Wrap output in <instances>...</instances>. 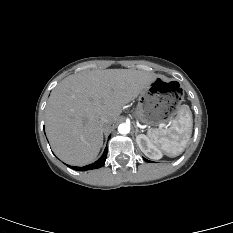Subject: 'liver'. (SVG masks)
I'll return each mask as SVG.
<instances>
[{
    "label": "liver",
    "instance_id": "obj_1",
    "mask_svg": "<svg viewBox=\"0 0 233 233\" xmlns=\"http://www.w3.org/2000/svg\"><path fill=\"white\" fill-rule=\"evenodd\" d=\"M156 78L134 69H107L73 74L53 90L45 127L55 154L75 166L92 163L103 144L102 117L115 124L122 107Z\"/></svg>",
    "mask_w": 233,
    "mask_h": 233
}]
</instances>
